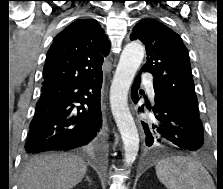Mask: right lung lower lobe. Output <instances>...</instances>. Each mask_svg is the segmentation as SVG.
<instances>
[{"label": "right lung lower lobe", "mask_w": 223, "mask_h": 189, "mask_svg": "<svg viewBox=\"0 0 223 189\" xmlns=\"http://www.w3.org/2000/svg\"><path fill=\"white\" fill-rule=\"evenodd\" d=\"M102 81L103 74L86 81L42 86L26 153L96 145L102 131Z\"/></svg>", "instance_id": "right-lung-lower-lobe-1"}]
</instances>
